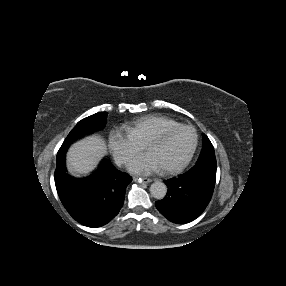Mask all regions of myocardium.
Returning <instances> with one entry per match:
<instances>
[{
    "mask_svg": "<svg viewBox=\"0 0 286 286\" xmlns=\"http://www.w3.org/2000/svg\"><path fill=\"white\" fill-rule=\"evenodd\" d=\"M183 129H190L194 132V134H195L194 146L191 149L190 153L178 164L162 167L163 172H166V173L177 172V171L182 170L184 167H186L189 164V162L192 160V158L194 157V155L196 153L198 143H199V135H198L196 128L191 126V125H180V126H177L175 128L164 130V131L150 137L149 139L146 140V142L144 144L145 149L149 150L150 146H152L156 143H161V142L165 141L166 139H168L169 137H171L172 135H174L175 133H177Z\"/></svg>",
    "mask_w": 286,
    "mask_h": 286,
    "instance_id": "f54148a6",
    "label": "myocardium"
}]
</instances>
